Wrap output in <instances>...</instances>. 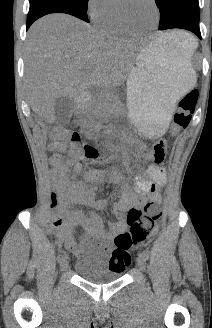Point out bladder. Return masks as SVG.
Listing matches in <instances>:
<instances>
[{
	"instance_id": "bladder-1",
	"label": "bladder",
	"mask_w": 212,
	"mask_h": 328,
	"mask_svg": "<svg viewBox=\"0 0 212 328\" xmlns=\"http://www.w3.org/2000/svg\"><path fill=\"white\" fill-rule=\"evenodd\" d=\"M75 269L82 279L93 284L111 283L117 281L123 275V271L102 269L96 261L91 259L78 261Z\"/></svg>"
}]
</instances>
